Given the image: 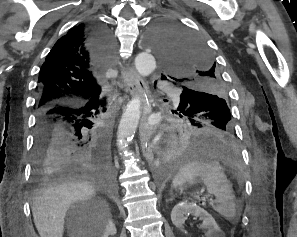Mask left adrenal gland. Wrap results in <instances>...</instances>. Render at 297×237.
Here are the masks:
<instances>
[{
  "label": "left adrenal gland",
  "instance_id": "left-adrenal-gland-1",
  "mask_svg": "<svg viewBox=\"0 0 297 237\" xmlns=\"http://www.w3.org/2000/svg\"><path fill=\"white\" fill-rule=\"evenodd\" d=\"M170 195H171V198L168 200V201H172V200H174V195H173V192H172V190L170 191Z\"/></svg>",
  "mask_w": 297,
  "mask_h": 237
}]
</instances>
